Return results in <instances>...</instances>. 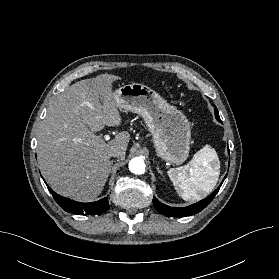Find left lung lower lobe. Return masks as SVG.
Wrapping results in <instances>:
<instances>
[{"instance_id":"0a47b994","label":"left lung lower lobe","mask_w":279,"mask_h":279,"mask_svg":"<svg viewBox=\"0 0 279 279\" xmlns=\"http://www.w3.org/2000/svg\"><path fill=\"white\" fill-rule=\"evenodd\" d=\"M218 121H221V120H218ZM225 178H226V176L224 177V180H225ZM222 183H221V185H222ZM221 185L207 198L199 201L198 203H195L193 205H190V206H187L184 208H176V207L167 206V205L161 203L160 201H158L155 197L153 199V204H154L155 209L159 213H161L165 216H168V217L191 216V215H194V214L200 212L201 210H203L213 200V198L217 194Z\"/></svg>"}]
</instances>
